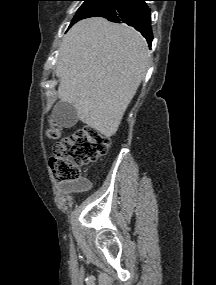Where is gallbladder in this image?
I'll list each match as a JSON object with an SVG mask.
<instances>
[{
    "label": "gallbladder",
    "mask_w": 216,
    "mask_h": 285,
    "mask_svg": "<svg viewBox=\"0 0 216 285\" xmlns=\"http://www.w3.org/2000/svg\"><path fill=\"white\" fill-rule=\"evenodd\" d=\"M53 119L66 128L74 126L78 121V116L74 106L68 102L60 101L52 113Z\"/></svg>",
    "instance_id": "gallbladder-1"
}]
</instances>
